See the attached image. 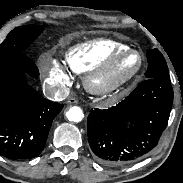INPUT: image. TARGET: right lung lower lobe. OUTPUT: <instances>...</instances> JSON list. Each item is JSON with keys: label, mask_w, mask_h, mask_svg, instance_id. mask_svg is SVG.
<instances>
[{"label": "right lung lower lobe", "mask_w": 183, "mask_h": 183, "mask_svg": "<svg viewBox=\"0 0 183 183\" xmlns=\"http://www.w3.org/2000/svg\"><path fill=\"white\" fill-rule=\"evenodd\" d=\"M39 71L24 53L0 61V155L30 159L42 151L63 104L43 98L25 76Z\"/></svg>", "instance_id": "98d812e1"}]
</instances>
